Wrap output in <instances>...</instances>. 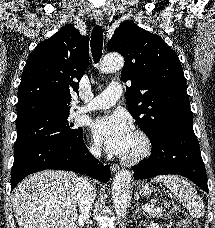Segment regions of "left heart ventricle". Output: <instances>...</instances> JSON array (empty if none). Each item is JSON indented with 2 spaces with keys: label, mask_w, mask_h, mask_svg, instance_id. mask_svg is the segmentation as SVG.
I'll use <instances>...</instances> for the list:
<instances>
[{
  "label": "left heart ventricle",
  "mask_w": 215,
  "mask_h": 228,
  "mask_svg": "<svg viewBox=\"0 0 215 228\" xmlns=\"http://www.w3.org/2000/svg\"><path fill=\"white\" fill-rule=\"evenodd\" d=\"M138 147H139V141L133 134L131 146L125 155L133 153L134 151H136L138 149Z\"/></svg>",
  "instance_id": "1"
}]
</instances>
